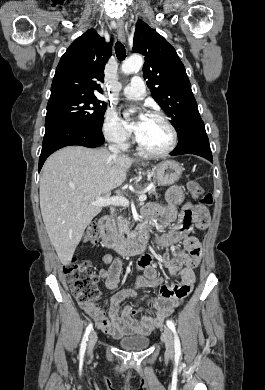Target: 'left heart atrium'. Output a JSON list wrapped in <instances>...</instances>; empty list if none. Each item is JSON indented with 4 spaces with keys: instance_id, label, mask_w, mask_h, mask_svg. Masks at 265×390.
I'll list each match as a JSON object with an SVG mask.
<instances>
[{
    "instance_id": "1",
    "label": "left heart atrium",
    "mask_w": 265,
    "mask_h": 390,
    "mask_svg": "<svg viewBox=\"0 0 265 390\" xmlns=\"http://www.w3.org/2000/svg\"><path fill=\"white\" fill-rule=\"evenodd\" d=\"M146 118V115L145 114H140L137 118V121L134 125H132V129L137 133L139 128H140V125L141 123L144 121V119Z\"/></svg>"
}]
</instances>
